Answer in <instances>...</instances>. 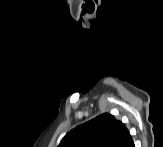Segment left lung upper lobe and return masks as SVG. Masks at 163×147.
Segmentation results:
<instances>
[{
    "instance_id": "left-lung-upper-lobe-1",
    "label": "left lung upper lobe",
    "mask_w": 163,
    "mask_h": 147,
    "mask_svg": "<svg viewBox=\"0 0 163 147\" xmlns=\"http://www.w3.org/2000/svg\"><path fill=\"white\" fill-rule=\"evenodd\" d=\"M125 125L111 114H102L65 135L59 147H115Z\"/></svg>"
}]
</instances>
